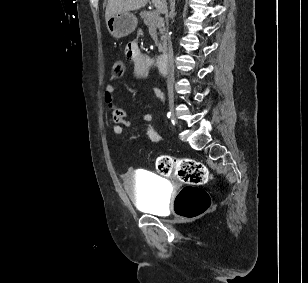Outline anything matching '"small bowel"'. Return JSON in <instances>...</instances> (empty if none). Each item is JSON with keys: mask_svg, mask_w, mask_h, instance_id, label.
I'll list each match as a JSON object with an SVG mask.
<instances>
[{"mask_svg": "<svg viewBox=\"0 0 308 283\" xmlns=\"http://www.w3.org/2000/svg\"><path fill=\"white\" fill-rule=\"evenodd\" d=\"M124 53L125 56L133 62L134 77L137 79H145L148 76V61L144 54L140 51L138 43L136 41L129 42L125 47ZM160 98L163 99L161 95ZM104 100L111 113L112 131L117 135L123 134L124 128L129 127L131 125V121L129 120L128 113L118 105L115 97V87L111 83L105 86ZM143 120L148 122L150 120V116L145 114L143 116ZM145 134L153 142H159L162 139L161 134L149 124L145 126Z\"/></svg>", "mask_w": 308, "mask_h": 283, "instance_id": "c3829d8e", "label": "small bowel"}]
</instances>
